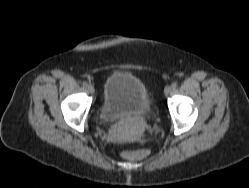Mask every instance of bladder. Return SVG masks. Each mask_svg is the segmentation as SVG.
Returning <instances> with one entry per match:
<instances>
[{"label":"bladder","instance_id":"obj_1","mask_svg":"<svg viewBox=\"0 0 249 188\" xmlns=\"http://www.w3.org/2000/svg\"><path fill=\"white\" fill-rule=\"evenodd\" d=\"M133 113L144 120L153 115V102L145 83L125 71L111 73L104 83L99 118L114 123L124 114Z\"/></svg>","mask_w":249,"mask_h":188}]
</instances>
